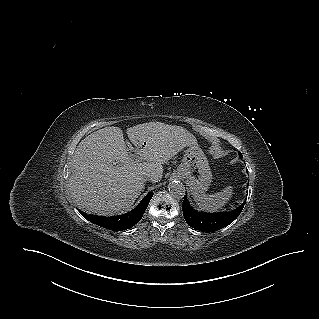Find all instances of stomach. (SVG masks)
<instances>
[{
	"label": "stomach",
	"mask_w": 319,
	"mask_h": 319,
	"mask_svg": "<svg viewBox=\"0 0 319 319\" xmlns=\"http://www.w3.org/2000/svg\"><path fill=\"white\" fill-rule=\"evenodd\" d=\"M177 174L187 180L193 193H204L208 190L212 173L207 158L198 145H190L185 150Z\"/></svg>",
	"instance_id": "obj_1"
}]
</instances>
